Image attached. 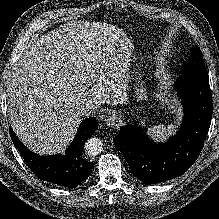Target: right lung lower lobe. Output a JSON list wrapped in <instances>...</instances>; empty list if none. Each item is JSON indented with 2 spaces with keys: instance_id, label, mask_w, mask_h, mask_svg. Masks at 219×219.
<instances>
[{
  "instance_id": "obj_1",
  "label": "right lung lower lobe",
  "mask_w": 219,
  "mask_h": 219,
  "mask_svg": "<svg viewBox=\"0 0 219 219\" xmlns=\"http://www.w3.org/2000/svg\"><path fill=\"white\" fill-rule=\"evenodd\" d=\"M98 127L95 117L84 120L70 146L63 155L43 157L30 151L17 138L13 130L9 129L11 139L26 164L41 180L60 186L73 188L86 179L93 169V163L82 156L85 141Z\"/></svg>"
}]
</instances>
